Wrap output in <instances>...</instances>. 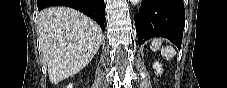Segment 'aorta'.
Here are the masks:
<instances>
[{"label": "aorta", "instance_id": "aorta-1", "mask_svg": "<svg viewBox=\"0 0 227 88\" xmlns=\"http://www.w3.org/2000/svg\"><path fill=\"white\" fill-rule=\"evenodd\" d=\"M130 2L132 5H137L140 2V0H130Z\"/></svg>", "mask_w": 227, "mask_h": 88}]
</instances>
